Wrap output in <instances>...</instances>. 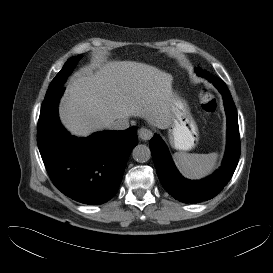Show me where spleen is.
I'll return each mask as SVG.
<instances>
[{
	"label": "spleen",
	"instance_id": "spleen-1",
	"mask_svg": "<svg viewBox=\"0 0 273 273\" xmlns=\"http://www.w3.org/2000/svg\"><path fill=\"white\" fill-rule=\"evenodd\" d=\"M174 159L181 173L190 179H199L212 172L216 166L218 154H190L178 152Z\"/></svg>",
	"mask_w": 273,
	"mask_h": 273
}]
</instances>
